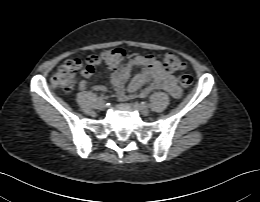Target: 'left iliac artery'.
Instances as JSON below:
<instances>
[{"label": "left iliac artery", "mask_w": 260, "mask_h": 202, "mask_svg": "<svg viewBox=\"0 0 260 202\" xmlns=\"http://www.w3.org/2000/svg\"><path fill=\"white\" fill-rule=\"evenodd\" d=\"M142 105H147V102H146V101H143V102H142Z\"/></svg>", "instance_id": "left-iliac-artery-1"}]
</instances>
